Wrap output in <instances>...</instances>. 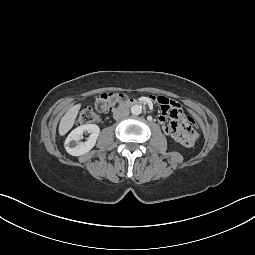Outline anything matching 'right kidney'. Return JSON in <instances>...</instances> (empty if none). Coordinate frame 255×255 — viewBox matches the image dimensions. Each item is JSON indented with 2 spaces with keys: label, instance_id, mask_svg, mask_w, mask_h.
<instances>
[{
  "label": "right kidney",
  "instance_id": "obj_1",
  "mask_svg": "<svg viewBox=\"0 0 255 255\" xmlns=\"http://www.w3.org/2000/svg\"><path fill=\"white\" fill-rule=\"evenodd\" d=\"M91 133L86 142H80L83 133ZM100 128L95 124H85L75 128L66 138L64 146L72 156H81L89 152L96 144Z\"/></svg>",
  "mask_w": 255,
  "mask_h": 255
}]
</instances>
